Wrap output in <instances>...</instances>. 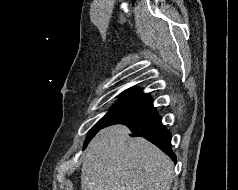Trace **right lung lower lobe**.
<instances>
[{
    "label": "right lung lower lobe",
    "instance_id": "1",
    "mask_svg": "<svg viewBox=\"0 0 238 190\" xmlns=\"http://www.w3.org/2000/svg\"><path fill=\"white\" fill-rule=\"evenodd\" d=\"M122 124L131 130L133 133L132 136H143L163 150L174 162H176V156L173 153L171 146V134L162 124L161 117L154 107L141 116L123 122Z\"/></svg>",
    "mask_w": 238,
    "mask_h": 190
}]
</instances>
